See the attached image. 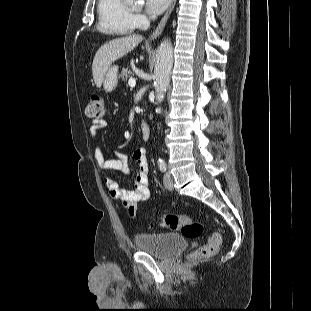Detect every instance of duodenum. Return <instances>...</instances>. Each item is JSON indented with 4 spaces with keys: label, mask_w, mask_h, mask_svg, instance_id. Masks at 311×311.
I'll list each match as a JSON object with an SVG mask.
<instances>
[{
    "label": "duodenum",
    "mask_w": 311,
    "mask_h": 311,
    "mask_svg": "<svg viewBox=\"0 0 311 311\" xmlns=\"http://www.w3.org/2000/svg\"><path fill=\"white\" fill-rule=\"evenodd\" d=\"M141 133H142V139L147 141L150 138L151 130L148 123L144 122L141 124Z\"/></svg>",
    "instance_id": "duodenum-1"
}]
</instances>
